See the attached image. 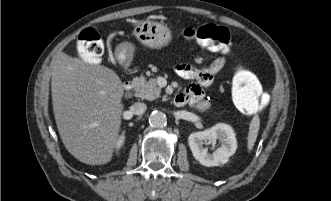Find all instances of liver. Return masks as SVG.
Returning <instances> with one entry per match:
<instances>
[{
  "label": "liver",
  "mask_w": 331,
  "mask_h": 201,
  "mask_svg": "<svg viewBox=\"0 0 331 201\" xmlns=\"http://www.w3.org/2000/svg\"><path fill=\"white\" fill-rule=\"evenodd\" d=\"M52 103L61 140L80 162L103 165L113 156L122 122L124 87L103 65L57 53L51 61Z\"/></svg>",
  "instance_id": "1"
}]
</instances>
